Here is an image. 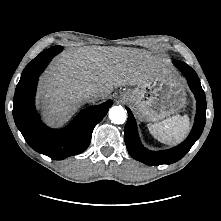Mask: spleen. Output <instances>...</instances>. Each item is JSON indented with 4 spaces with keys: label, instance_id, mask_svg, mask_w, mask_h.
Wrapping results in <instances>:
<instances>
[{
    "label": "spleen",
    "instance_id": "3e777b00",
    "mask_svg": "<svg viewBox=\"0 0 221 221\" xmlns=\"http://www.w3.org/2000/svg\"><path fill=\"white\" fill-rule=\"evenodd\" d=\"M150 133L161 143L175 145L184 140L190 131L187 115H175L162 122L148 124Z\"/></svg>",
    "mask_w": 221,
    "mask_h": 221
}]
</instances>
